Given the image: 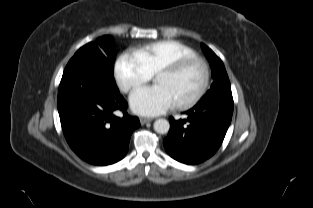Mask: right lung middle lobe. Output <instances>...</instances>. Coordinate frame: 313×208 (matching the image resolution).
Returning a JSON list of instances; mask_svg holds the SVG:
<instances>
[{"instance_id": "1", "label": "right lung middle lobe", "mask_w": 313, "mask_h": 208, "mask_svg": "<svg viewBox=\"0 0 313 208\" xmlns=\"http://www.w3.org/2000/svg\"><path fill=\"white\" fill-rule=\"evenodd\" d=\"M115 51L110 43L109 36H102L97 42H90L81 47L68 62L64 71L80 61H88L101 68L104 76L113 77Z\"/></svg>"}]
</instances>
